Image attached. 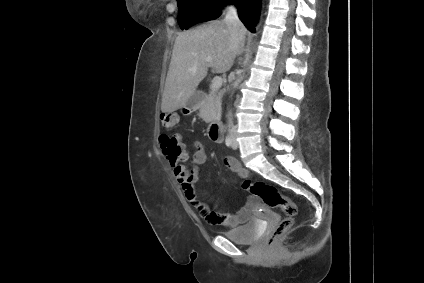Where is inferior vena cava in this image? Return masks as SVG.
I'll list each match as a JSON object with an SVG mask.
<instances>
[{
  "mask_svg": "<svg viewBox=\"0 0 424 283\" xmlns=\"http://www.w3.org/2000/svg\"><path fill=\"white\" fill-rule=\"evenodd\" d=\"M231 35V44L234 50H237L244 39L245 27L238 17L237 9L234 6H229L224 19ZM228 127L234 129L231 113L228 115Z\"/></svg>",
  "mask_w": 424,
  "mask_h": 283,
  "instance_id": "1",
  "label": "inferior vena cava"
}]
</instances>
